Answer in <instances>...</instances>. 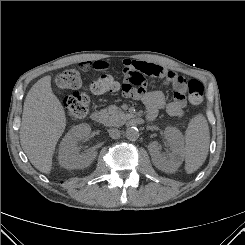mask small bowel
Instances as JSON below:
<instances>
[{"label":"small bowel","instance_id":"small-bowel-1","mask_svg":"<svg viewBox=\"0 0 245 245\" xmlns=\"http://www.w3.org/2000/svg\"><path fill=\"white\" fill-rule=\"evenodd\" d=\"M124 68V80L120 85V93L125 98H133L141 101L146 109L149 118H154L161 109H165L172 117H181L187 107L186 91L187 81L178 76L172 71H167L159 64L132 60L125 58L122 61ZM81 68L105 70L110 67V63L106 60L83 61L80 64ZM138 73L143 76H152L165 79L166 83L170 84L174 90L173 99L166 102L165 96L161 91H149L146 88L145 81L140 85L132 82V76Z\"/></svg>","mask_w":245,"mask_h":245}]
</instances>
